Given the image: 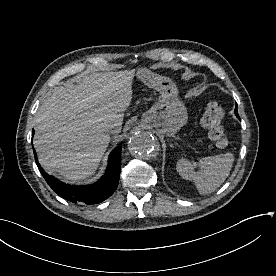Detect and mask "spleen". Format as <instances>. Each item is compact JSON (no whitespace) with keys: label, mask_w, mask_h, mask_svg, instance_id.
Returning <instances> with one entry per match:
<instances>
[{"label":"spleen","mask_w":276,"mask_h":276,"mask_svg":"<svg viewBox=\"0 0 276 276\" xmlns=\"http://www.w3.org/2000/svg\"><path fill=\"white\" fill-rule=\"evenodd\" d=\"M234 162V155L225 154L208 156L200 161V171L194 172L191 163L181 158L176 170L183 179H193L198 192L202 195L214 192L229 176Z\"/></svg>","instance_id":"3e777b00"}]
</instances>
